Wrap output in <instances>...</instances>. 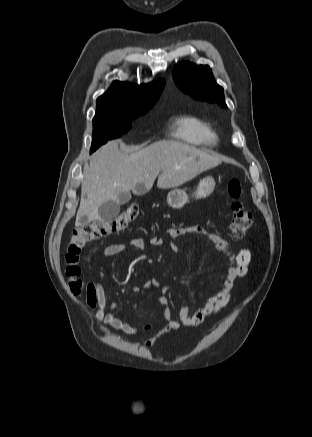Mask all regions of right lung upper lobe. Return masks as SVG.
Instances as JSON below:
<instances>
[{
  "instance_id": "cb5924a9",
  "label": "right lung upper lobe",
  "mask_w": 312,
  "mask_h": 437,
  "mask_svg": "<svg viewBox=\"0 0 312 437\" xmlns=\"http://www.w3.org/2000/svg\"><path fill=\"white\" fill-rule=\"evenodd\" d=\"M164 85L165 81L161 79L147 85L114 81L108 91L97 99L96 114L141 115L153 107Z\"/></svg>"
}]
</instances>
